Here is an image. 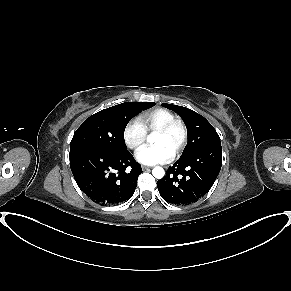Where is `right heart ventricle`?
Masks as SVG:
<instances>
[{"instance_id":"obj_1","label":"right heart ventricle","mask_w":291,"mask_h":291,"mask_svg":"<svg viewBox=\"0 0 291 291\" xmlns=\"http://www.w3.org/2000/svg\"><path fill=\"white\" fill-rule=\"evenodd\" d=\"M174 119H176L175 114L164 108L145 111L137 117V121L143 126L146 132H154Z\"/></svg>"}]
</instances>
